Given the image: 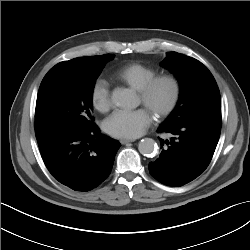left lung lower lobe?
<instances>
[{"mask_svg": "<svg viewBox=\"0 0 250 250\" xmlns=\"http://www.w3.org/2000/svg\"><path fill=\"white\" fill-rule=\"evenodd\" d=\"M157 132L169 133L172 138H159L163 150L149 163V172L165 185L182 186L209 165L220 137L221 112L189 118L176 126L161 124Z\"/></svg>", "mask_w": 250, "mask_h": 250, "instance_id": "1", "label": "left lung lower lobe"}]
</instances>
